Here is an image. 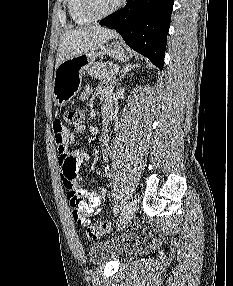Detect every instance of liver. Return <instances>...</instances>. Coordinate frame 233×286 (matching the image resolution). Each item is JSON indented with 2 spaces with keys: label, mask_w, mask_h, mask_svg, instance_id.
Returning a JSON list of instances; mask_svg holds the SVG:
<instances>
[{
  "label": "liver",
  "mask_w": 233,
  "mask_h": 286,
  "mask_svg": "<svg viewBox=\"0 0 233 286\" xmlns=\"http://www.w3.org/2000/svg\"><path fill=\"white\" fill-rule=\"evenodd\" d=\"M116 37H118L116 31L99 25L66 30L60 40L55 68L73 56L96 51L107 41Z\"/></svg>",
  "instance_id": "6515ba94"
}]
</instances>
